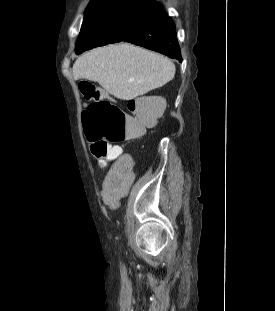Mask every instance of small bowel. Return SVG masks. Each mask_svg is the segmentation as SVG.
<instances>
[{"label": "small bowel", "instance_id": "1", "mask_svg": "<svg viewBox=\"0 0 275 311\" xmlns=\"http://www.w3.org/2000/svg\"><path fill=\"white\" fill-rule=\"evenodd\" d=\"M119 147V154L113 158L114 169H109L108 175L102 183L101 188L106 194L102 195V200L106 202V213H121L120 198L126 193L130 180L136 178V160H132L134 156L133 150H124ZM110 159V160H113ZM98 165L103 167L105 161H98Z\"/></svg>", "mask_w": 275, "mask_h": 311}]
</instances>
